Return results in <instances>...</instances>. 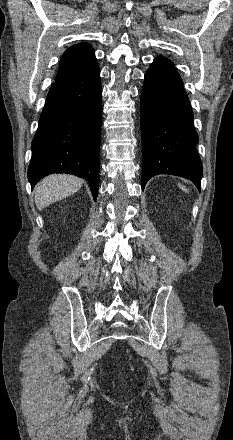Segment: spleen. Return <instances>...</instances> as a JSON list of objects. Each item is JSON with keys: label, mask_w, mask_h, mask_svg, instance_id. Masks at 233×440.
I'll return each instance as SVG.
<instances>
[{"label": "spleen", "mask_w": 233, "mask_h": 440, "mask_svg": "<svg viewBox=\"0 0 233 440\" xmlns=\"http://www.w3.org/2000/svg\"><path fill=\"white\" fill-rule=\"evenodd\" d=\"M179 185V187L183 190V191H185V192H189V190L185 187V186H183V185H181V184H178Z\"/></svg>", "instance_id": "spleen-1"}]
</instances>
